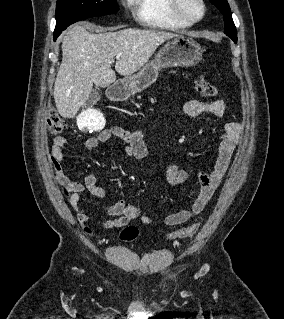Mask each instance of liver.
<instances>
[{"label":"liver","mask_w":284,"mask_h":319,"mask_svg":"<svg viewBox=\"0 0 284 319\" xmlns=\"http://www.w3.org/2000/svg\"><path fill=\"white\" fill-rule=\"evenodd\" d=\"M177 36L132 28L93 34L80 25L67 30L54 84L58 113L64 118L74 117L90 96L93 83L108 87L116 80L115 71L125 77L133 75L146 65L159 45ZM114 57H118L115 71L111 68Z\"/></svg>","instance_id":"1"}]
</instances>
